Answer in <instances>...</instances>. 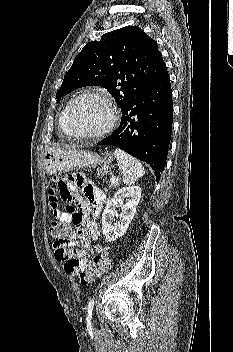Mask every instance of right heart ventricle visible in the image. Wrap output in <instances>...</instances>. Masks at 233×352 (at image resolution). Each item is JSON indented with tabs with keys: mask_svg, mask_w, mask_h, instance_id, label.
Instances as JSON below:
<instances>
[{
	"mask_svg": "<svg viewBox=\"0 0 233 352\" xmlns=\"http://www.w3.org/2000/svg\"><path fill=\"white\" fill-rule=\"evenodd\" d=\"M72 100L68 101L59 115V128L67 136H70L67 125H66V114L69 104Z\"/></svg>",
	"mask_w": 233,
	"mask_h": 352,
	"instance_id": "right-heart-ventricle-1",
	"label": "right heart ventricle"
}]
</instances>
